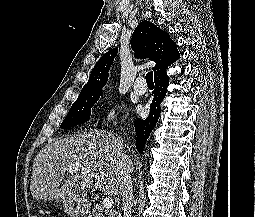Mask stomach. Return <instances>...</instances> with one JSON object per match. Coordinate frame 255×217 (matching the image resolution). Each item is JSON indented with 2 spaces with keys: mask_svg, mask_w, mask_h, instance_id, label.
Instances as JSON below:
<instances>
[{
  "mask_svg": "<svg viewBox=\"0 0 255 217\" xmlns=\"http://www.w3.org/2000/svg\"><path fill=\"white\" fill-rule=\"evenodd\" d=\"M88 210L89 204L86 202V200L64 204V212L70 217H84Z\"/></svg>",
  "mask_w": 255,
  "mask_h": 217,
  "instance_id": "0dacf381",
  "label": "stomach"
}]
</instances>
